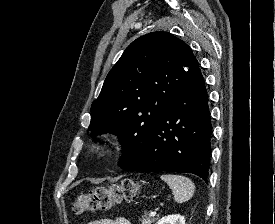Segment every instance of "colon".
Returning <instances> with one entry per match:
<instances>
[{"instance_id":"1","label":"colon","mask_w":275,"mask_h":224,"mask_svg":"<svg viewBox=\"0 0 275 224\" xmlns=\"http://www.w3.org/2000/svg\"><path fill=\"white\" fill-rule=\"evenodd\" d=\"M139 188L140 184L131 179L106 187H97L87 194L78 196L73 211L76 214H84L110 210L115 204L134 200Z\"/></svg>"}]
</instances>
